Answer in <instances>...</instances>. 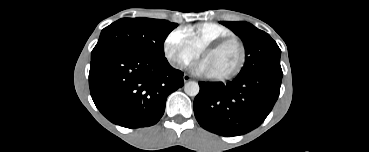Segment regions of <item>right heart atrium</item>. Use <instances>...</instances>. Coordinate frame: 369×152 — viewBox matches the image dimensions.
I'll list each match as a JSON object with an SVG mask.
<instances>
[{"mask_svg":"<svg viewBox=\"0 0 369 152\" xmlns=\"http://www.w3.org/2000/svg\"><path fill=\"white\" fill-rule=\"evenodd\" d=\"M167 61L176 69L186 68L199 53L190 45L182 29L171 31L163 43Z\"/></svg>","mask_w":369,"mask_h":152,"instance_id":"1","label":"right heart atrium"}]
</instances>
